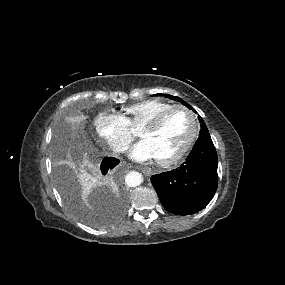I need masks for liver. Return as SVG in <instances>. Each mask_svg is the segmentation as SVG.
<instances>
[{
    "label": "liver",
    "instance_id": "1",
    "mask_svg": "<svg viewBox=\"0 0 285 285\" xmlns=\"http://www.w3.org/2000/svg\"><path fill=\"white\" fill-rule=\"evenodd\" d=\"M83 166H87L88 169H95V170L97 169V165L92 163L91 161H89L87 159L84 161ZM81 178H82V181L84 182L85 185H88L90 183V181H91L90 180L91 179L90 176L85 175V174H83L81 176Z\"/></svg>",
    "mask_w": 285,
    "mask_h": 285
}]
</instances>
